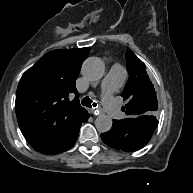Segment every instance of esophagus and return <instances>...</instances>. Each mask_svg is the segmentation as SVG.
<instances>
[{"label":"esophagus","mask_w":193,"mask_h":193,"mask_svg":"<svg viewBox=\"0 0 193 193\" xmlns=\"http://www.w3.org/2000/svg\"><path fill=\"white\" fill-rule=\"evenodd\" d=\"M91 113H92L93 115H95V116H98L101 112H100L99 109H97V107H93V108L91 109Z\"/></svg>","instance_id":"1"}]
</instances>
